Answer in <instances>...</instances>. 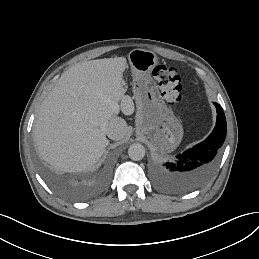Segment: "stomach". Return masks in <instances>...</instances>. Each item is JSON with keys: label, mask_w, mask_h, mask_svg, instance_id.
Masks as SVG:
<instances>
[{"label": "stomach", "mask_w": 259, "mask_h": 259, "mask_svg": "<svg viewBox=\"0 0 259 259\" xmlns=\"http://www.w3.org/2000/svg\"><path fill=\"white\" fill-rule=\"evenodd\" d=\"M128 60L134 75L149 74L158 63L157 55L153 51L145 49L130 51Z\"/></svg>", "instance_id": "obj_1"}]
</instances>
